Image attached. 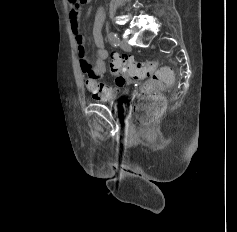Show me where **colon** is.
Here are the masks:
<instances>
[{"label":"colon","instance_id":"1","mask_svg":"<svg viewBox=\"0 0 237 232\" xmlns=\"http://www.w3.org/2000/svg\"><path fill=\"white\" fill-rule=\"evenodd\" d=\"M88 1L69 0L77 6ZM109 69L118 87L123 86L127 78L143 81L136 96L134 116L140 127L148 129L153 126L164 110L162 91L172 84L173 72L169 68H158L155 61L139 62L119 54L112 55Z\"/></svg>","mask_w":237,"mask_h":232}]
</instances>
